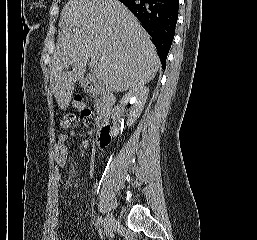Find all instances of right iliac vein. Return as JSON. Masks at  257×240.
<instances>
[{"mask_svg":"<svg viewBox=\"0 0 257 240\" xmlns=\"http://www.w3.org/2000/svg\"><path fill=\"white\" fill-rule=\"evenodd\" d=\"M116 225V219L113 214L108 213L104 220V229L106 233H110Z\"/></svg>","mask_w":257,"mask_h":240,"instance_id":"1","label":"right iliac vein"}]
</instances>
